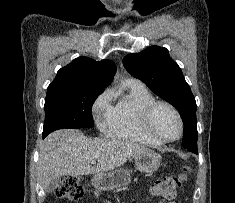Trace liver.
Wrapping results in <instances>:
<instances>
[{
  "mask_svg": "<svg viewBox=\"0 0 235 203\" xmlns=\"http://www.w3.org/2000/svg\"><path fill=\"white\" fill-rule=\"evenodd\" d=\"M147 148L121 139L86 137L75 129L49 134L39 152L38 177L43 189L63 175L101 174L126 163ZM96 160L98 164L91 166Z\"/></svg>",
  "mask_w": 235,
  "mask_h": 203,
  "instance_id": "6515ba94",
  "label": "liver"
}]
</instances>
